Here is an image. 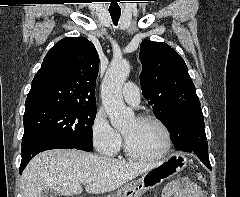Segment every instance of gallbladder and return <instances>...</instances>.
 <instances>
[{
	"label": "gallbladder",
	"mask_w": 240,
	"mask_h": 197,
	"mask_svg": "<svg viewBox=\"0 0 240 197\" xmlns=\"http://www.w3.org/2000/svg\"><path fill=\"white\" fill-rule=\"evenodd\" d=\"M57 196L58 193L53 188H45L41 193V197H57Z\"/></svg>",
	"instance_id": "1"
}]
</instances>
